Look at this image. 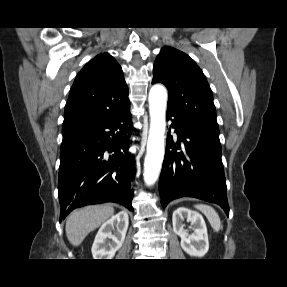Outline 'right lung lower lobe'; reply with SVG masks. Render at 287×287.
<instances>
[{
    "label": "right lung lower lobe",
    "instance_id": "98d812e1",
    "mask_svg": "<svg viewBox=\"0 0 287 287\" xmlns=\"http://www.w3.org/2000/svg\"><path fill=\"white\" fill-rule=\"evenodd\" d=\"M130 104L104 118L63 132L58 197L60 221L90 204L119 203L133 210L135 160L128 152Z\"/></svg>",
    "mask_w": 287,
    "mask_h": 287
}]
</instances>
